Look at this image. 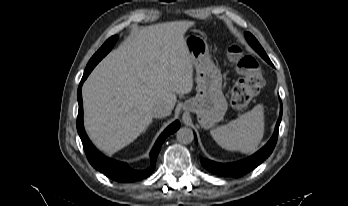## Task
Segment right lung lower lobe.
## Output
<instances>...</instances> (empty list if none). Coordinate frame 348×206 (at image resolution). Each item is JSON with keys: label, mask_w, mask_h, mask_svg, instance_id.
<instances>
[{"label": "right lung lower lobe", "mask_w": 348, "mask_h": 206, "mask_svg": "<svg viewBox=\"0 0 348 206\" xmlns=\"http://www.w3.org/2000/svg\"><path fill=\"white\" fill-rule=\"evenodd\" d=\"M103 53H96L88 62L84 71L80 86L78 88V102L79 112L77 117V130L81 138L86 156L90 164L100 172L104 173L107 177L119 181V182H132L148 177L154 170L156 159L160 151L161 145L164 140L173 132L177 131L180 127L179 121H175L160 135L156 141L153 149L151 150V166L143 171H137L131 169L126 163L118 162L107 158L101 154L89 141L83 126V102L81 95V87L85 79L88 77L92 69L96 64L104 57Z\"/></svg>", "instance_id": "1"}]
</instances>
